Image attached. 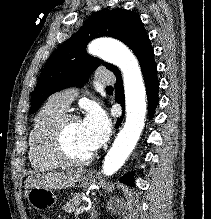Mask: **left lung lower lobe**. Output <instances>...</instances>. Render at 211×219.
<instances>
[{
    "label": "left lung lower lobe",
    "instance_id": "1",
    "mask_svg": "<svg viewBox=\"0 0 211 219\" xmlns=\"http://www.w3.org/2000/svg\"><path fill=\"white\" fill-rule=\"evenodd\" d=\"M135 55L137 56L142 69L148 98L149 116L152 118L155 107L158 104L159 81L157 78V66L154 60V52L151 48L149 37L144 40ZM114 74L117 78L115 84V101L121 104L122 108H124V90L121 72L118 70ZM121 121V118L117 120L116 127L120 125ZM121 181L128 185L134 186L133 175L131 174L123 176Z\"/></svg>",
    "mask_w": 211,
    "mask_h": 219
}]
</instances>
